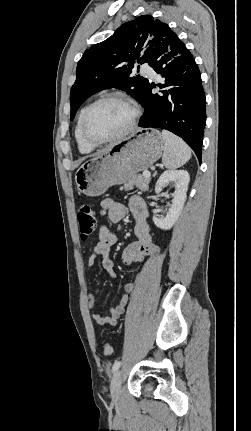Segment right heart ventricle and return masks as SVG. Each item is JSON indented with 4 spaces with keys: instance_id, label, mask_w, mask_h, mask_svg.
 I'll return each instance as SVG.
<instances>
[{
    "instance_id": "1",
    "label": "right heart ventricle",
    "mask_w": 251,
    "mask_h": 431,
    "mask_svg": "<svg viewBox=\"0 0 251 431\" xmlns=\"http://www.w3.org/2000/svg\"><path fill=\"white\" fill-rule=\"evenodd\" d=\"M89 106V104L83 106L78 114L77 117V121H76V125H75V130H74V136H75V140L77 142L78 145V149L81 153L87 154L92 152L95 149V146L89 145L88 143L85 142V140L83 139L82 135H81V119L83 116V113L85 112L86 108Z\"/></svg>"
}]
</instances>
